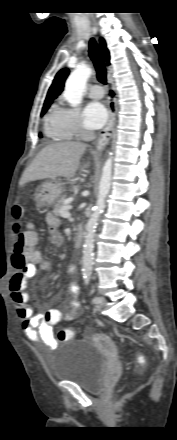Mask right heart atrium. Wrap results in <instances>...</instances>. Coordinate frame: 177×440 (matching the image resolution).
Instances as JSON below:
<instances>
[{
  "instance_id": "obj_1",
  "label": "right heart atrium",
  "mask_w": 177,
  "mask_h": 440,
  "mask_svg": "<svg viewBox=\"0 0 177 440\" xmlns=\"http://www.w3.org/2000/svg\"><path fill=\"white\" fill-rule=\"evenodd\" d=\"M56 112L60 128L68 138L80 136L86 132V127L78 107L61 102L56 107Z\"/></svg>"
}]
</instances>
